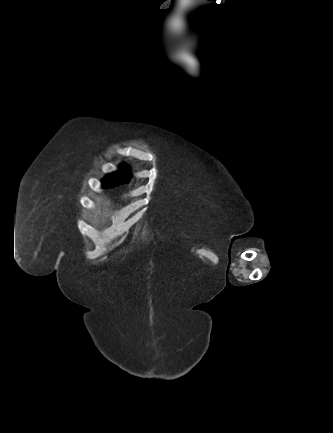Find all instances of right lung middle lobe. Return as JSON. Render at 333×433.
<instances>
[{
    "instance_id": "1",
    "label": "right lung middle lobe",
    "mask_w": 333,
    "mask_h": 433,
    "mask_svg": "<svg viewBox=\"0 0 333 433\" xmlns=\"http://www.w3.org/2000/svg\"><path fill=\"white\" fill-rule=\"evenodd\" d=\"M121 168L123 171L109 174L105 178H103L102 180L103 187H112V186L129 182V177L127 175L129 172L128 166H122Z\"/></svg>"
}]
</instances>
